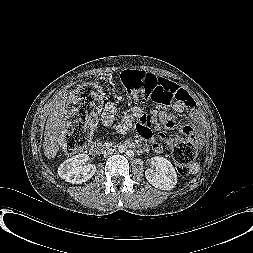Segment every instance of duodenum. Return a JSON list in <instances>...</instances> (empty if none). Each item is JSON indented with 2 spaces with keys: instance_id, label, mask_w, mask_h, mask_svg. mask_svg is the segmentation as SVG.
I'll list each match as a JSON object with an SVG mask.
<instances>
[{
  "instance_id": "obj_1",
  "label": "duodenum",
  "mask_w": 253,
  "mask_h": 253,
  "mask_svg": "<svg viewBox=\"0 0 253 253\" xmlns=\"http://www.w3.org/2000/svg\"><path fill=\"white\" fill-rule=\"evenodd\" d=\"M104 148H105V146L100 143H93L90 146L89 152L91 155L97 156L103 151Z\"/></svg>"
}]
</instances>
